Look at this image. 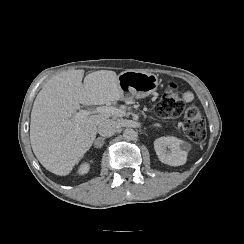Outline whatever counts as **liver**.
Listing matches in <instances>:
<instances>
[{
    "instance_id": "liver-1",
    "label": "liver",
    "mask_w": 244,
    "mask_h": 244,
    "mask_svg": "<svg viewBox=\"0 0 244 244\" xmlns=\"http://www.w3.org/2000/svg\"><path fill=\"white\" fill-rule=\"evenodd\" d=\"M61 72L37 94L31 111L30 142L39 162L50 172L65 176L92 146L98 125L107 114L85 116L75 127L73 116L82 105H104L121 100L114 71Z\"/></svg>"
}]
</instances>
